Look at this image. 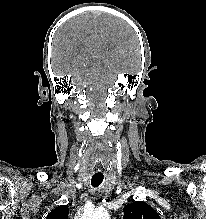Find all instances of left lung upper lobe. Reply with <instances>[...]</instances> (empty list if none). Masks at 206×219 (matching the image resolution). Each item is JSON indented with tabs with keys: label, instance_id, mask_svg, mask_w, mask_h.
<instances>
[{
	"label": "left lung upper lobe",
	"instance_id": "left-lung-upper-lobe-1",
	"mask_svg": "<svg viewBox=\"0 0 206 219\" xmlns=\"http://www.w3.org/2000/svg\"><path fill=\"white\" fill-rule=\"evenodd\" d=\"M123 219H161L159 214L147 203L136 201L123 208Z\"/></svg>",
	"mask_w": 206,
	"mask_h": 219
}]
</instances>
